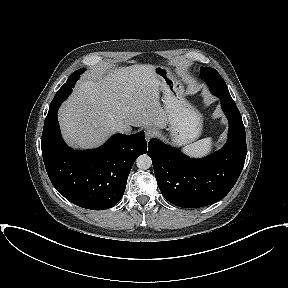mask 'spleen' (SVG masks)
Segmentation results:
<instances>
[{"instance_id": "spleen-1", "label": "spleen", "mask_w": 288, "mask_h": 288, "mask_svg": "<svg viewBox=\"0 0 288 288\" xmlns=\"http://www.w3.org/2000/svg\"><path fill=\"white\" fill-rule=\"evenodd\" d=\"M212 145H213L212 139L205 138L185 146L182 150L184 153L190 156L203 157L211 152Z\"/></svg>"}]
</instances>
